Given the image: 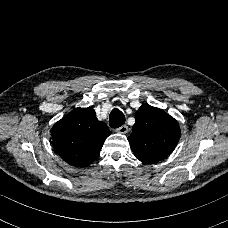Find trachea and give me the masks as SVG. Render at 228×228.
<instances>
[{"label": "trachea", "instance_id": "trachea-1", "mask_svg": "<svg viewBox=\"0 0 228 228\" xmlns=\"http://www.w3.org/2000/svg\"><path fill=\"white\" fill-rule=\"evenodd\" d=\"M125 123V116L124 114L118 109L114 108L109 116V125L112 128L121 127Z\"/></svg>", "mask_w": 228, "mask_h": 228}]
</instances>
